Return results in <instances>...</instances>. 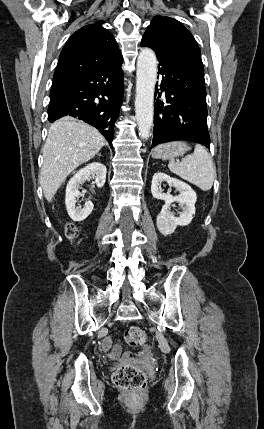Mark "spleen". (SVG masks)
Masks as SVG:
<instances>
[{
    "mask_svg": "<svg viewBox=\"0 0 264 429\" xmlns=\"http://www.w3.org/2000/svg\"><path fill=\"white\" fill-rule=\"evenodd\" d=\"M168 167L171 172L203 191H208L213 186L215 167L211 156L200 144H196L193 154L187 155L181 161L170 160Z\"/></svg>",
    "mask_w": 264,
    "mask_h": 429,
    "instance_id": "1",
    "label": "spleen"
}]
</instances>
